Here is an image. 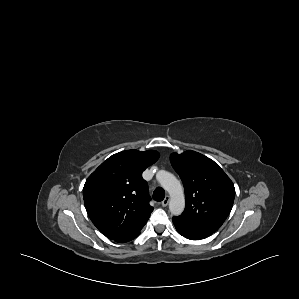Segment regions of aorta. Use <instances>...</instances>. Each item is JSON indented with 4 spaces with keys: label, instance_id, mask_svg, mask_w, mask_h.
<instances>
[{
    "label": "aorta",
    "instance_id": "aorta-1",
    "mask_svg": "<svg viewBox=\"0 0 299 299\" xmlns=\"http://www.w3.org/2000/svg\"><path fill=\"white\" fill-rule=\"evenodd\" d=\"M160 185L169 193V210L172 215H180L185 208V197L180 181L170 172L161 170L156 174Z\"/></svg>",
    "mask_w": 299,
    "mask_h": 299
}]
</instances>
